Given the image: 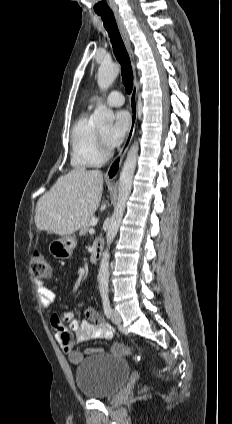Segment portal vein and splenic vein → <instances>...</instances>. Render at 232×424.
Wrapping results in <instances>:
<instances>
[{
	"instance_id": "obj_1",
	"label": "portal vein and splenic vein",
	"mask_w": 232,
	"mask_h": 424,
	"mask_svg": "<svg viewBox=\"0 0 232 424\" xmlns=\"http://www.w3.org/2000/svg\"><path fill=\"white\" fill-rule=\"evenodd\" d=\"M97 224V219H95V218H93L92 220H91V225L92 226H95ZM90 232H94V229L92 228V229H90Z\"/></svg>"
}]
</instances>
